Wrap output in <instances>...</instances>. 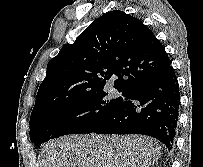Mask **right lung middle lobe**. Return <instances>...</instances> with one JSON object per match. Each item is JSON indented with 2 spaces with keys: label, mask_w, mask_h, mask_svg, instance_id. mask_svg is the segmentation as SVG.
Listing matches in <instances>:
<instances>
[{
  "label": "right lung middle lobe",
  "mask_w": 203,
  "mask_h": 167,
  "mask_svg": "<svg viewBox=\"0 0 203 167\" xmlns=\"http://www.w3.org/2000/svg\"><path fill=\"white\" fill-rule=\"evenodd\" d=\"M122 102V97L111 99L103 90L54 100L32 111L30 139L40 147L63 135L92 133Z\"/></svg>",
  "instance_id": "right-lung-middle-lobe-1"
}]
</instances>
